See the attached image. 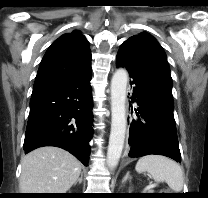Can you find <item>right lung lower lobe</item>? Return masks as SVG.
I'll return each mask as SVG.
<instances>
[{"mask_svg": "<svg viewBox=\"0 0 208 198\" xmlns=\"http://www.w3.org/2000/svg\"><path fill=\"white\" fill-rule=\"evenodd\" d=\"M91 69L75 80L32 94L24 151L56 146L88 165L92 137Z\"/></svg>", "mask_w": 208, "mask_h": 198, "instance_id": "98d812e1", "label": "right lung lower lobe"}]
</instances>
